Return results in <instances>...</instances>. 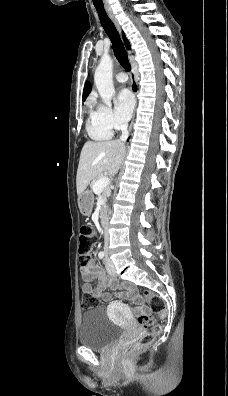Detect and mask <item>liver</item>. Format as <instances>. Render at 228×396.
<instances>
[{
    "label": "liver",
    "instance_id": "1",
    "mask_svg": "<svg viewBox=\"0 0 228 396\" xmlns=\"http://www.w3.org/2000/svg\"><path fill=\"white\" fill-rule=\"evenodd\" d=\"M125 153V144L120 140L87 141L82 148L77 170L78 196L87 188L90 181L100 176L104 171L114 176L123 163Z\"/></svg>",
    "mask_w": 228,
    "mask_h": 396
}]
</instances>
